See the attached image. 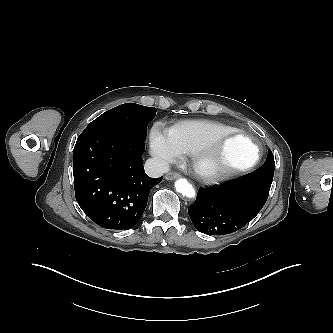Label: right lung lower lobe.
Returning a JSON list of instances; mask_svg holds the SVG:
<instances>
[{
    "label": "right lung lower lobe",
    "mask_w": 333,
    "mask_h": 333,
    "mask_svg": "<svg viewBox=\"0 0 333 333\" xmlns=\"http://www.w3.org/2000/svg\"><path fill=\"white\" fill-rule=\"evenodd\" d=\"M144 139L111 131L82 132L74 147V188L84 213L106 229L127 230L140 220L148 192L162 181L146 175Z\"/></svg>",
    "instance_id": "right-lung-lower-lobe-1"
}]
</instances>
